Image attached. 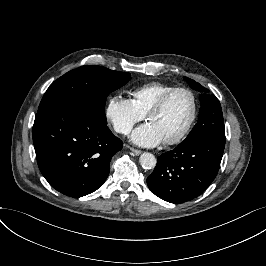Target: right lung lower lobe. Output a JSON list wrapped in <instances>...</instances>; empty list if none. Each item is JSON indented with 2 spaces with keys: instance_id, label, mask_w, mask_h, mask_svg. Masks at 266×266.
<instances>
[{
  "instance_id": "obj_1",
  "label": "right lung lower lobe",
  "mask_w": 266,
  "mask_h": 266,
  "mask_svg": "<svg viewBox=\"0 0 266 266\" xmlns=\"http://www.w3.org/2000/svg\"><path fill=\"white\" fill-rule=\"evenodd\" d=\"M37 163L49 184L78 198L97 190L123 142L84 106L53 104L38 112L33 126Z\"/></svg>"
}]
</instances>
